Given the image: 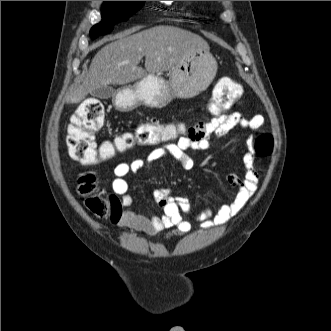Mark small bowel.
Masks as SVG:
<instances>
[{"label":"small bowel","instance_id":"c3829d8e","mask_svg":"<svg viewBox=\"0 0 331 331\" xmlns=\"http://www.w3.org/2000/svg\"><path fill=\"white\" fill-rule=\"evenodd\" d=\"M263 124L264 117L261 114H255L250 118L245 117L240 112L213 116L205 122H198L190 126L186 133L175 142L162 144L150 152L147 157L117 164L113 170L112 189L115 194L120 196L121 205L124 207L118 217L119 225L129 231L150 234L175 228L170 234V236H174L189 232L192 228L190 220L198 222L203 229L226 224L243 209L257 189L259 177L254 167L255 152L250 138L247 140L249 150L244 156L245 174L244 176L228 175V183L237 191L229 203L221 205L216 211L211 207L195 209L187 198L172 196L167 189H157L154 192V197L162 208V214L143 215L136 213L129 209L133 205V198L125 177L165 156L172 157L180 165L187 167L191 164L188 151L210 150L214 146V141L221 139L236 127L257 130Z\"/></svg>","mask_w":331,"mask_h":331}]
</instances>
